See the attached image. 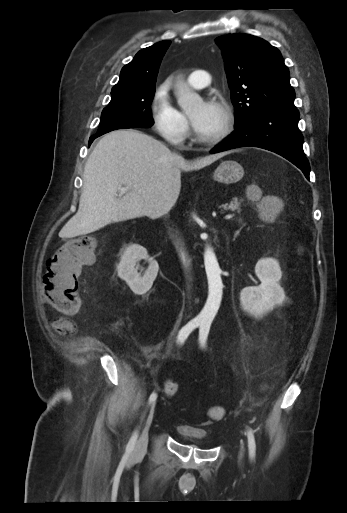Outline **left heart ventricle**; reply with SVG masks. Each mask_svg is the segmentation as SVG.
<instances>
[{
  "label": "left heart ventricle",
  "instance_id": "1",
  "mask_svg": "<svg viewBox=\"0 0 347 513\" xmlns=\"http://www.w3.org/2000/svg\"><path fill=\"white\" fill-rule=\"evenodd\" d=\"M207 105L211 108V118L209 122L202 129L197 130L198 134L204 138H211L218 134L223 127L224 117L223 112L216 104H207L204 102H198L190 112L192 120L196 119L203 113Z\"/></svg>",
  "mask_w": 347,
  "mask_h": 513
}]
</instances>
